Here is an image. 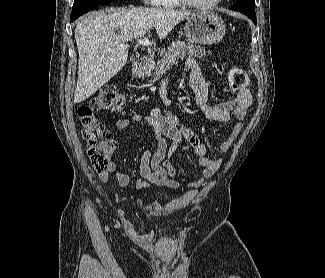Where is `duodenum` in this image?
<instances>
[{"instance_id": "410a0bca", "label": "duodenum", "mask_w": 325, "mask_h": 278, "mask_svg": "<svg viewBox=\"0 0 325 278\" xmlns=\"http://www.w3.org/2000/svg\"><path fill=\"white\" fill-rule=\"evenodd\" d=\"M152 66V62L148 58H140L135 66L134 73L136 76H141L146 70Z\"/></svg>"}]
</instances>
